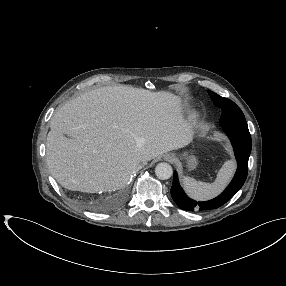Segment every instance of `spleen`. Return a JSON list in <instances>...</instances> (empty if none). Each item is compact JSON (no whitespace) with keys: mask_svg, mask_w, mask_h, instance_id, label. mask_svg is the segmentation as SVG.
Masks as SVG:
<instances>
[{"mask_svg":"<svg viewBox=\"0 0 286 286\" xmlns=\"http://www.w3.org/2000/svg\"><path fill=\"white\" fill-rule=\"evenodd\" d=\"M235 171V162L226 161L213 183L199 182L191 177H183L182 183L188 195L197 200H208L217 196L228 184Z\"/></svg>","mask_w":286,"mask_h":286,"instance_id":"spleen-1","label":"spleen"}]
</instances>
